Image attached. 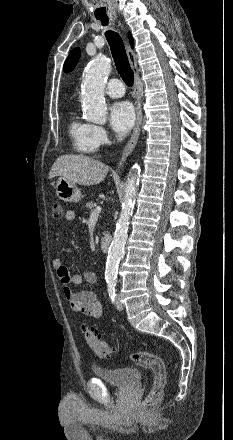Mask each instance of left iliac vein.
<instances>
[{
	"instance_id": "4c4485c4",
	"label": "left iliac vein",
	"mask_w": 233,
	"mask_h": 440,
	"mask_svg": "<svg viewBox=\"0 0 233 440\" xmlns=\"http://www.w3.org/2000/svg\"><path fill=\"white\" fill-rule=\"evenodd\" d=\"M114 304H115V306H116V308H117L118 310H123V309H124V305L122 304L119 295H117V296L115 297Z\"/></svg>"
}]
</instances>
